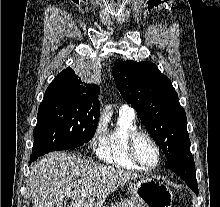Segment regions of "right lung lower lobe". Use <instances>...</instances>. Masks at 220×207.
I'll return each instance as SVG.
<instances>
[{"label":"right lung lower lobe","mask_w":220,"mask_h":207,"mask_svg":"<svg viewBox=\"0 0 220 207\" xmlns=\"http://www.w3.org/2000/svg\"><path fill=\"white\" fill-rule=\"evenodd\" d=\"M37 158L35 157V156H31L30 157V163L32 162V161H34V160H36Z\"/></svg>","instance_id":"1"}]
</instances>
